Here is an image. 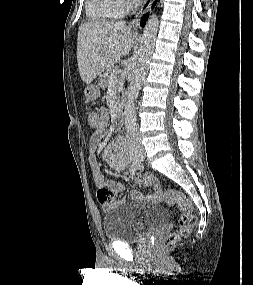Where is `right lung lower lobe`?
<instances>
[{
  "instance_id": "obj_1",
  "label": "right lung lower lobe",
  "mask_w": 253,
  "mask_h": 285,
  "mask_svg": "<svg viewBox=\"0 0 253 285\" xmlns=\"http://www.w3.org/2000/svg\"><path fill=\"white\" fill-rule=\"evenodd\" d=\"M156 2H157V0H155V2H154V4H153V6H155ZM147 16H148V14L144 15V17L142 18L141 26H143V25H144V23L146 22Z\"/></svg>"
}]
</instances>
